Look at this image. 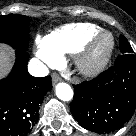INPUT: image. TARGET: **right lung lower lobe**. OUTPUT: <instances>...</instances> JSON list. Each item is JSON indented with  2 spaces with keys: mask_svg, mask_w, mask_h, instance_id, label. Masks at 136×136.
<instances>
[{
  "mask_svg": "<svg viewBox=\"0 0 136 136\" xmlns=\"http://www.w3.org/2000/svg\"><path fill=\"white\" fill-rule=\"evenodd\" d=\"M14 48L13 70L0 81V136H25L36 124L39 105L52 88L50 76L37 78L28 73L26 50Z\"/></svg>",
  "mask_w": 136,
  "mask_h": 136,
  "instance_id": "1",
  "label": "right lung lower lobe"
}]
</instances>
